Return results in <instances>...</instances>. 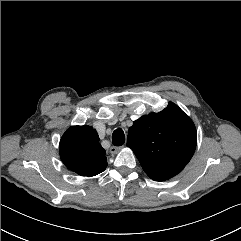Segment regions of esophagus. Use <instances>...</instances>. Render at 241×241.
Returning <instances> with one entry per match:
<instances>
[{
	"label": "esophagus",
	"instance_id": "obj_1",
	"mask_svg": "<svg viewBox=\"0 0 241 241\" xmlns=\"http://www.w3.org/2000/svg\"><path fill=\"white\" fill-rule=\"evenodd\" d=\"M121 146H111L110 147V149H109V151H110V153H112V154H115V153H117L119 150H121Z\"/></svg>",
	"mask_w": 241,
	"mask_h": 241
}]
</instances>
